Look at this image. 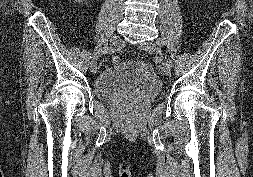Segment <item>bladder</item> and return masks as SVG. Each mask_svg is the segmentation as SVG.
<instances>
[{"label":"bladder","mask_w":253,"mask_h":177,"mask_svg":"<svg viewBox=\"0 0 253 177\" xmlns=\"http://www.w3.org/2000/svg\"><path fill=\"white\" fill-rule=\"evenodd\" d=\"M162 90V83L148 64L120 61L104 69L96 78L94 92L100 99L119 97L150 101Z\"/></svg>","instance_id":"31cf9c89"}]
</instances>
